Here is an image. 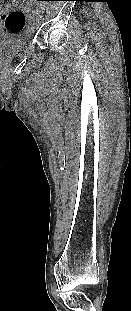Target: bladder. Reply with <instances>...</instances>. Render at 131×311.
I'll return each mask as SVG.
<instances>
[{
	"label": "bladder",
	"instance_id": "31cf9c89",
	"mask_svg": "<svg viewBox=\"0 0 131 311\" xmlns=\"http://www.w3.org/2000/svg\"><path fill=\"white\" fill-rule=\"evenodd\" d=\"M28 46L27 39L0 37V62L11 60L21 54Z\"/></svg>",
	"mask_w": 131,
	"mask_h": 311
}]
</instances>
